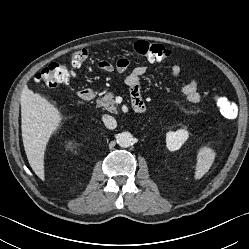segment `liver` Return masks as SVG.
Here are the masks:
<instances>
[{"label": "liver", "mask_w": 249, "mask_h": 249, "mask_svg": "<svg viewBox=\"0 0 249 249\" xmlns=\"http://www.w3.org/2000/svg\"><path fill=\"white\" fill-rule=\"evenodd\" d=\"M62 120L61 112L45 97L28 88L23 90L21 95L22 140L28 162L41 180H45L46 146Z\"/></svg>", "instance_id": "obj_1"}]
</instances>
